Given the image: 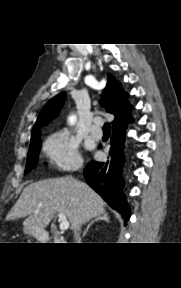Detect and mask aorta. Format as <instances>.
I'll list each match as a JSON object with an SVG mask.
<instances>
[{
    "mask_svg": "<svg viewBox=\"0 0 181 288\" xmlns=\"http://www.w3.org/2000/svg\"><path fill=\"white\" fill-rule=\"evenodd\" d=\"M68 122H69L70 125H73L76 122V116L75 115H71L68 118Z\"/></svg>",
    "mask_w": 181,
    "mask_h": 288,
    "instance_id": "aorta-1",
    "label": "aorta"
}]
</instances>
